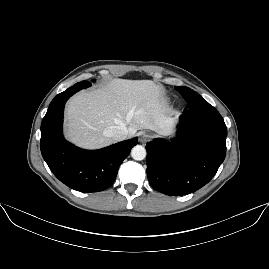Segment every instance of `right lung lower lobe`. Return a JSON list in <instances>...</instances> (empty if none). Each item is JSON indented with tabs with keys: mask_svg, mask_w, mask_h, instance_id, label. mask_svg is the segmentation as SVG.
<instances>
[{
	"mask_svg": "<svg viewBox=\"0 0 269 269\" xmlns=\"http://www.w3.org/2000/svg\"><path fill=\"white\" fill-rule=\"evenodd\" d=\"M87 85L91 86L89 82ZM83 85L68 88L50 103L41 124V153L53 174L65 185L80 192H98L110 187L119 166L137 144L135 137L99 150H82L62 134L66 101Z\"/></svg>",
	"mask_w": 269,
	"mask_h": 269,
	"instance_id": "right-lung-lower-lobe-1",
	"label": "right lung lower lobe"
}]
</instances>
